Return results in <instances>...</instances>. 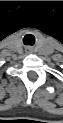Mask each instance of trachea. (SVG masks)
Here are the masks:
<instances>
[{
  "instance_id": "trachea-1",
  "label": "trachea",
  "mask_w": 63,
  "mask_h": 123,
  "mask_svg": "<svg viewBox=\"0 0 63 123\" xmlns=\"http://www.w3.org/2000/svg\"><path fill=\"white\" fill-rule=\"evenodd\" d=\"M23 41H24L25 45H33L34 44V36L31 34H27L23 38Z\"/></svg>"
}]
</instances>
